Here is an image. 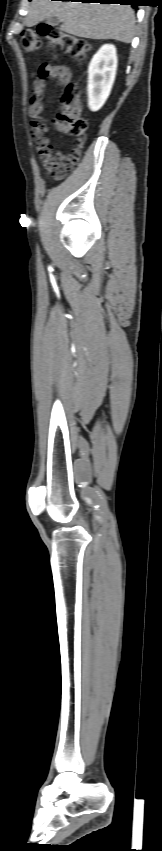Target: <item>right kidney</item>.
Masks as SVG:
<instances>
[{"instance_id":"1","label":"right kidney","mask_w":162,"mask_h":851,"mask_svg":"<svg viewBox=\"0 0 162 851\" xmlns=\"http://www.w3.org/2000/svg\"><path fill=\"white\" fill-rule=\"evenodd\" d=\"M117 54L112 44L103 45L93 56L88 67V106L98 111L106 102L116 75Z\"/></svg>"}]
</instances>
